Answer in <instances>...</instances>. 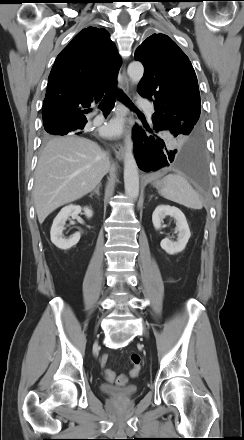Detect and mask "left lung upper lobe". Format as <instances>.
<instances>
[{
    "instance_id": "5c2ea615",
    "label": "left lung upper lobe",
    "mask_w": 244,
    "mask_h": 440,
    "mask_svg": "<svg viewBox=\"0 0 244 440\" xmlns=\"http://www.w3.org/2000/svg\"><path fill=\"white\" fill-rule=\"evenodd\" d=\"M135 59L145 68L138 93L153 101V118L174 137L203 134L197 77L179 46L165 34H153L137 48Z\"/></svg>"
}]
</instances>
